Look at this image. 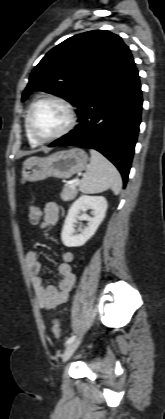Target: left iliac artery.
Here are the masks:
<instances>
[{
  "label": "left iliac artery",
  "mask_w": 165,
  "mask_h": 419,
  "mask_svg": "<svg viewBox=\"0 0 165 419\" xmlns=\"http://www.w3.org/2000/svg\"><path fill=\"white\" fill-rule=\"evenodd\" d=\"M76 336H71L70 338H68V340L66 341V345L70 344L71 342H73L75 340Z\"/></svg>",
  "instance_id": "left-iliac-artery-1"
}]
</instances>
